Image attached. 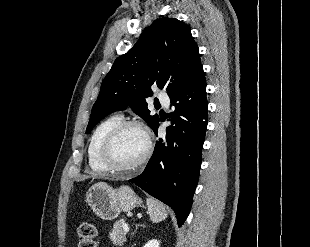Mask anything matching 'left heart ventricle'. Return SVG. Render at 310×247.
<instances>
[{"mask_svg":"<svg viewBox=\"0 0 310 247\" xmlns=\"http://www.w3.org/2000/svg\"><path fill=\"white\" fill-rule=\"evenodd\" d=\"M145 148L144 133L138 128H127L119 134L112 146V162L117 166L132 165L142 156Z\"/></svg>","mask_w":310,"mask_h":247,"instance_id":"left-heart-ventricle-1","label":"left heart ventricle"}]
</instances>
